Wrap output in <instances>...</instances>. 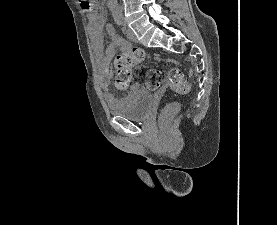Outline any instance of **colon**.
<instances>
[{
  "label": "colon",
  "mask_w": 277,
  "mask_h": 225,
  "mask_svg": "<svg viewBox=\"0 0 277 225\" xmlns=\"http://www.w3.org/2000/svg\"><path fill=\"white\" fill-rule=\"evenodd\" d=\"M82 8L86 12L95 10V4L92 0H82ZM150 56L142 49H134L129 53L119 54L114 61L115 66V86L119 90H125L132 81V68ZM165 75L160 70H151L146 75V85L151 90H156L165 80ZM168 79L171 85L182 93H189L191 86L188 78L183 71L178 68H172L168 72ZM181 108L177 102L169 103L164 107L161 113L163 122L172 118Z\"/></svg>",
  "instance_id": "colon-1"
}]
</instances>
